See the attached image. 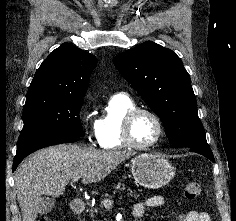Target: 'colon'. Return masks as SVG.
I'll use <instances>...</instances> for the list:
<instances>
[{
    "mask_svg": "<svg viewBox=\"0 0 236 221\" xmlns=\"http://www.w3.org/2000/svg\"><path fill=\"white\" fill-rule=\"evenodd\" d=\"M184 194L187 199H194L201 194V185L197 181H188L185 184ZM39 221H53L50 218H41Z\"/></svg>",
    "mask_w": 236,
    "mask_h": 221,
    "instance_id": "1",
    "label": "colon"
}]
</instances>
